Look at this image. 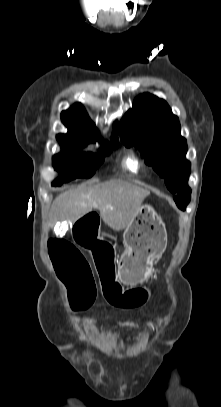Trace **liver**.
Segmentation results:
<instances>
[{
  "instance_id": "liver-1",
  "label": "liver",
  "mask_w": 221,
  "mask_h": 407,
  "mask_svg": "<svg viewBox=\"0 0 221 407\" xmlns=\"http://www.w3.org/2000/svg\"><path fill=\"white\" fill-rule=\"evenodd\" d=\"M149 194V191L128 182L109 181L60 194L52 204V212L56 220L76 222L94 208H99L103 222L119 231L132 222Z\"/></svg>"
}]
</instances>
